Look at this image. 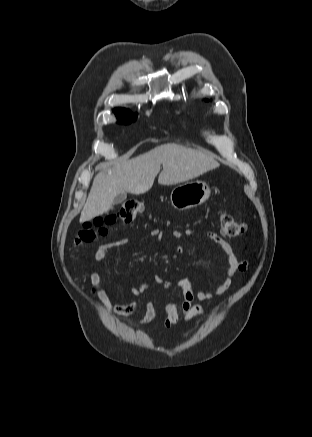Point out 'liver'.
<instances>
[{
    "label": "liver",
    "mask_w": 312,
    "mask_h": 437,
    "mask_svg": "<svg viewBox=\"0 0 312 437\" xmlns=\"http://www.w3.org/2000/svg\"><path fill=\"white\" fill-rule=\"evenodd\" d=\"M160 185H174L196 178L219 167L208 153L168 143L147 153L125 160L106 171L99 172L81 212L80 222L103 214L123 192L143 194L153 186L155 177Z\"/></svg>",
    "instance_id": "obj_1"
}]
</instances>
